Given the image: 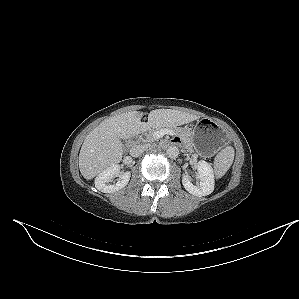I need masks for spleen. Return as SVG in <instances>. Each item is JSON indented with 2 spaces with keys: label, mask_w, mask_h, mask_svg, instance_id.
<instances>
[{
  "label": "spleen",
  "mask_w": 299,
  "mask_h": 299,
  "mask_svg": "<svg viewBox=\"0 0 299 299\" xmlns=\"http://www.w3.org/2000/svg\"><path fill=\"white\" fill-rule=\"evenodd\" d=\"M234 148L232 146H227L222 149L214 158V172L216 178L223 177L234 160Z\"/></svg>",
  "instance_id": "3e777b00"
}]
</instances>
